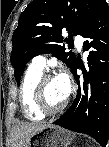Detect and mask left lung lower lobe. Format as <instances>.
<instances>
[{"label": "left lung lower lobe", "mask_w": 109, "mask_h": 147, "mask_svg": "<svg viewBox=\"0 0 109 147\" xmlns=\"http://www.w3.org/2000/svg\"><path fill=\"white\" fill-rule=\"evenodd\" d=\"M81 35L88 39L83 44L84 51H90L88 72L77 63L72 71L78 84L76 99L54 124L87 134L105 147L109 138V8L106 2ZM79 68L84 72L83 79L76 74ZM95 72L103 76V84L92 93L89 76Z\"/></svg>", "instance_id": "0a47b994"}]
</instances>
